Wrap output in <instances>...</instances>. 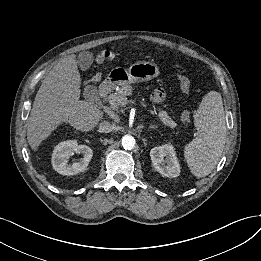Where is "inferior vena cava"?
<instances>
[{
  "label": "inferior vena cava",
  "instance_id": "602c4592",
  "mask_svg": "<svg viewBox=\"0 0 261 261\" xmlns=\"http://www.w3.org/2000/svg\"><path fill=\"white\" fill-rule=\"evenodd\" d=\"M114 130V126L110 122H101L99 125V132L108 133Z\"/></svg>",
  "mask_w": 261,
  "mask_h": 261
}]
</instances>
